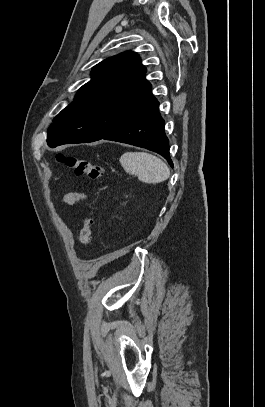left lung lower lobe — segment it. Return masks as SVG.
I'll list each match as a JSON object with an SVG mask.
<instances>
[{
    "label": "left lung lower lobe",
    "instance_id": "1",
    "mask_svg": "<svg viewBox=\"0 0 265 407\" xmlns=\"http://www.w3.org/2000/svg\"><path fill=\"white\" fill-rule=\"evenodd\" d=\"M102 139L155 151L161 154L173 167L169 154L168 138L164 132V120L159 113V103Z\"/></svg>",
    "mask_w": 265,
    "mask_h": 407
}]
</instances>
